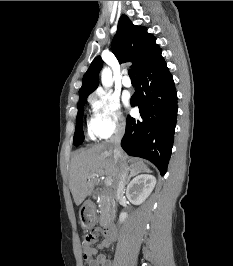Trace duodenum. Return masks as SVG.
Wrapping results in <instances>:
<instances>
[{
  "mask_svg": "<svg viewBox=\"0 0 233 266\" xmlns=\"http://www.w3.org/2000/svg\"><path fill=\"white\" fill-rule=\"evenodd\" d=\"M98 195L99 193H94L93 198H96ZM103 232L106 239L109 241H114L118 237L116 226L112 221H109L108 223L105 224Z\"/></svg>",
  "mask_w": 233,
  "mask_h": 266,
  "instance_id": "obj_1",
  "label": "duodenum"
}]
</instances>
